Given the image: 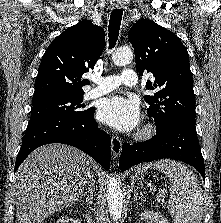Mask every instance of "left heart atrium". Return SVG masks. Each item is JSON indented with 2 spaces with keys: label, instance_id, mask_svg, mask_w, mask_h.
Listing matches in <instances>:
<instances>
[{
  "label": "left heart atrium",
  "instance_id": "left-heart-atrium-1",
  "mask_svg": "<svg viewBox=\"0 0 221 223\" xmlns=\"http://www.w3.org/2000/svg\"><path fill=\"white\" fill-rule=\"evenodd\" d=\"M97 119L118 131L129 132L139 125L140 108L132 99L110 96L101 102Z\"/></svg>",
  "mask_w": 221,
  "mask_h": 223
}]
</instances>
